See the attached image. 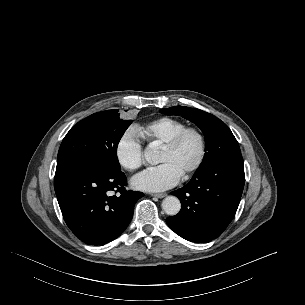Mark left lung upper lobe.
Masks as SVG:
<instances>
[{
    "mask_svg": "<svg viewBox=\"0 0 305 305\" xmlns=\"http://www.w3.org/2000/svg\"><path fill=\"white\" fill-rule=\"evenodd\" d=\"M167 115H181L195 123L204 133L206 153L196 172L203 171L233 155H241L239 144L228 126L212 114L199 109L176 106L161 109Z\"/></svg>",
    "mask_w": 305,
    "mask_h": 305,
    "instance_id": "left-lung-upper-lobe-1",
    "label": "left lung upper lobe"
}]
</instances>
